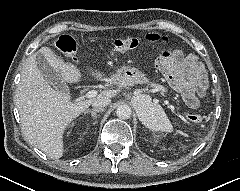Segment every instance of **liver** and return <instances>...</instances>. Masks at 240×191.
<instances>
[{
	"instance_id": "1",
	"label": "liver",
	"mask_w": 240,
	"mask_h": 191,
	"mask_svg": "<svg viewBox=\"0 0 240 191\" xmlns=\"http://www.w3.org/2000/svg\"><path fill=\"white\" fill-rule=\"evenodd\" d=\"M39 54L59 73L63 82L77 83L81 73L76 65L64 62L49 47H42L26 60L16 89L15 102L25 139L47 156L59 159L63 156V133L68 124L86 112L94 100L110 99L117 91L103 90L94 99L72 102L68 93L53 89L43 77L36 63ZM89 71L95 79L119 84L97 70Z\"/></svg>"
}]
</instances>
